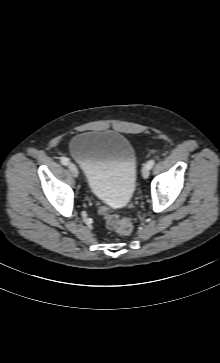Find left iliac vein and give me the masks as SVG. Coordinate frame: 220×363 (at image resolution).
Returning a JSON list of instances; mask_svg holds the SVG:
<instances>
[{
  "label": "left iliac vein",
  "instance_id": "obj_1",
  "mask_svg": "<svg viewBox=\"0 0 220 363\" xmlns=\"http://www.w3.org/2000/svg\"><path fill=\"white\" fill-rule=\"evenodd\" d=\"M150 174V169L148 168V166L145 164L142 168V176L143 178L147 179L149 177Z\"/></svg>",
  "mask_w": 220,
  "mask_h": 363
}]
</instances>
